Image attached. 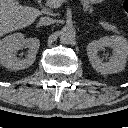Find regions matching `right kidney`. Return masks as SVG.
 Masks as SVG:
<instances>
[{
    "label": "right kidney",
    "instance_id": "ca27d5eb",
    "mask_svg": "<svg viewBox=\"0 0 128 128\" xmlns=\"http://www.w3.org/2000/svg\"><path fill=\"white\" fill-rule=\"evenodd\" d=\"M40 42L37 38H25L22 33H14L0 40V64L11 70H21L31 66L36 58ZM28 48L25 59L15 57L18 50Z\"/></svg>",
    "mask_w": 128,
    "mask_h": 128
}]
</instances>
